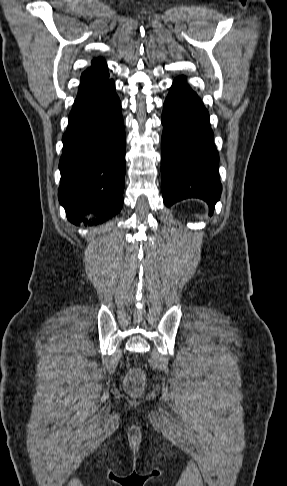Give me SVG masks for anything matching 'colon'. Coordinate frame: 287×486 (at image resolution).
<instances>
[{
	"label": "colon",
	"instance_id": "5ec220e1",
	"mask_svg": "<svg viewBox=\"0 0 287 486\" xmlns=\"http://www.w3.org/2000/svg\"><path fill=\"white\" fill-rule=\"evenodd\" d=\"M144 384V375L138 368H133L127 375L125 387L130 393L139 392Z\"/></svg>",
	"mask_w": 287,
	"mask_h": 486
}]
</instances>
